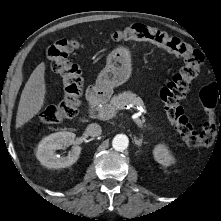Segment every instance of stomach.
<instances>
[{
	"mask_svg": "<svg viewBox=\"0 0 221 221\" xmlns=\"http://www.w3.org/2000/svg\"><path fill=\"white\" fill-rule=\"evenodd\" d=\"M131 74V53L123 47L115 48L108 56L105 68L99 73L96 86L104 91L125 83Z\"/></svg>",
	"mask_w": 221,
	"mask_h": 221,
	"instance_id": "obj_1",
	"label": "stomach"
}]
</instances>
